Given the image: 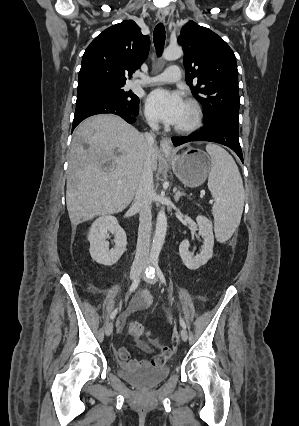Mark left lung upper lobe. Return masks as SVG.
I'll return each mask as SVG.
<instances>
[{"instance_id": "obj_1", "label": "left lung upper lobe", "mask_w": 299, "mask_h": 426, "mask_svg": "<svg viewBox=\"0 0 299 426\" xmlns=\"http://www.w3.org/2000/svg\"><path fill=\"white\" fill-rule=\"evenodd\" d=\"M184 51L186 82L204 108L207 122L239 126L238 70L234 52L220 36L189 21L178 37ZM197 85L192 87V82Z\"/></svg>"}]
</instances>
